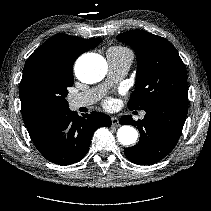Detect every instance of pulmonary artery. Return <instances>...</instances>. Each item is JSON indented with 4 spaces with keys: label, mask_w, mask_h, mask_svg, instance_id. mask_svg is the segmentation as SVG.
<instances>
[{
    "label": "pulmonary artery",
    "mask_w": 211,
    "mask_h": 211,
    "mask_svg": "<svg viewBox=\"0 0 211 211\" xmlns=\"http://www.w3.org/2000/svg\"><path fill=\"white\" fill-rule=\"evenodd\" d=\"M109 66V77L105 85L92 88L81 93L72 95L68 98L71 109L75 110L96 102L105 92L106 86L112 82L123 78L129 71L132 64L133 55L130 51L120 52L109 49L106 53ZM144 116V113L141 114Z\"/></svg>",
    "instance_id": "1"
}]
</instances>
